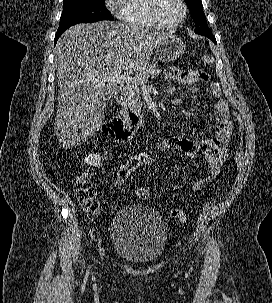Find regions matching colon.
I'll return each instance as SVG.
<instances>
[{
    "instance_id": "obj_1",
    "label": "colon",
    "mask_w": 272,
    "mask_h": 303,
    "mask_svg": "<svg viewBox=\"0 0 272 303\" xmlns=\"http://www.w3.org/2000/svg\"><path fill=\"white\" fill-rule=\"evenodd\" d=\"M204 64L213 63V57L211 55H204L202 57ZM243 161V151L241 144L238 145L234 156V164L239 166ZM157 164L156 157L150 152H141L129 157L126 162L121 165L115 175V185L120 188L128 177L137 170L150 169ZM75 193L78 202L91 218L97 216L101 211L100 202L96 199V190L90 182V172L85 171L81 173L75 182ZM136 196L141 200H147L149 198V191L145 187H139L135 191ZM172 218L177 219L181 223L188 221L187 214L180 210L173 208L169 211Z\"/></svg>"
}]
</instances>
